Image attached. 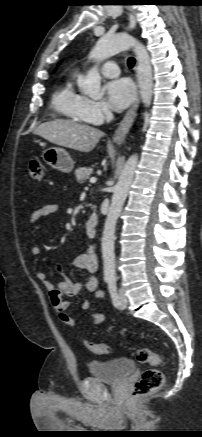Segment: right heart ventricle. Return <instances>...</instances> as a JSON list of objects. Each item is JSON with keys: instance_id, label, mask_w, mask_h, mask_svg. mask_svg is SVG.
I'll list each match as a JSON object with an SVG mask.
<instances>
[{"instance_id": "1", "label": "right heart ventricle", "mask_w": 202, "mask_h": 437, "mask_svg": "<svg viewBox=\"0 0 202 437\" xmlns=\"http://www.w3.org/2000/svg\"><path fill=\"white\" fill-rule=\"evenodd\" d=\"M84 97L74 87V77L70 76L58 87L52 96V107L61 116L76 122H89L82 112Z\"/></svg>"}]
</instances>
